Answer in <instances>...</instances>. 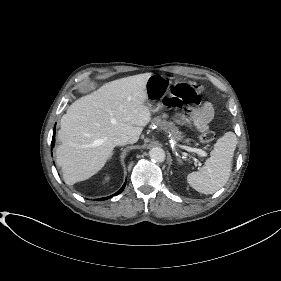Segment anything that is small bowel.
Returning a JSON list of instances; mask_svg holds the SVG:
<instances>
[{
    "label": "small bowel",
    "instance_id": "1",
    "mask_svg": "<svg viewBox=\"0 0 281 281\" xmlns=\"http://www.w3.org/2000/svg\"><path fill=\"white\" fill-rule=\"evenodd\" d=\"M213 115L214 110L209 103H204L202 106L192 111L194 123L200 131H204L208 128V124L212 120Z\"/></svg>",
    "mask_w": 281,
    "mask_h": 281
}]
</instances>
